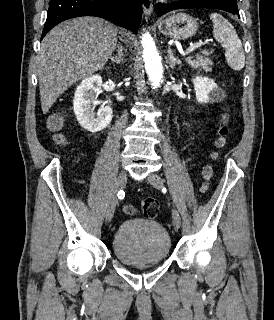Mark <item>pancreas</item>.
<instances>
[{
    "label": "pancreas",
    "instance_id": "cf45deb5",
    "mask_svg": "<svg viewBox=\"0 0 274 320\" xmlns=\"http://www.w3.org/2000/svg\"><path fill=\"white\" fill-rule=\"evenodd\" d=\"M212 52H207V50H203L201 54H196V56H189L186 58L187 64L194 68V70H205V72H212L211 66H213L212 60L208 58Z\"/></svg>",
    "mask_w": 274,
    "mask_h": 320
}]
</instances>
